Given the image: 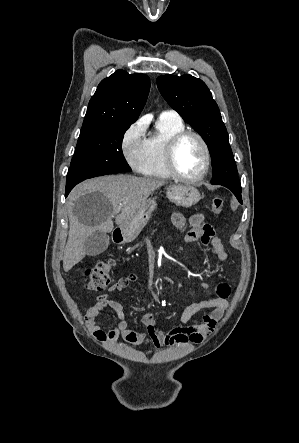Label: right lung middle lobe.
<instances>
[{
	"instance_id": "dd1d6c3e",
	"label": "right lung middle lobe",
	"mask_w": 299,
	"mask_h": 443,
	"mask_svg": "<svg viewBox=\"0 0 299 443\" xmlns=\"http://www.w3.org/2000/svg\"><path fill=\"white\" fill-rule=\"evenodd\" d=\"M130 124H112L80 132L67 174L66 186L96 176L131 172L122 153V139Z\"/></svg>"
}]
</instances>
